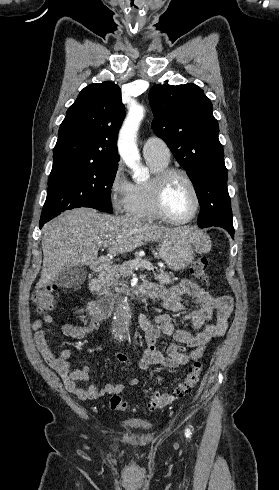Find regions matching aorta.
Listing matches in <instances>:
<instances>
[{"label":"aorta","mask_w":279,"mask_h":490,"mask_svg":"<svg viewBox=\"0 0 279 490\" xmlns=\"http://www.w3.org/2000/svg\"><path fill=\"white\" fill-rule=\"evenodd\" d=\"M144 108L133 104L123 122L118 136V151L123 161L140 177L145 170L140 164V155L136 145V135ZM130 313L126 300H121L113 310L112 331L119 340L127 339L130 330Z\"/></svg>","instance_id":"762f6f07"}]
</instances>
